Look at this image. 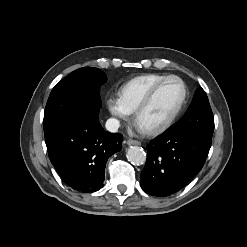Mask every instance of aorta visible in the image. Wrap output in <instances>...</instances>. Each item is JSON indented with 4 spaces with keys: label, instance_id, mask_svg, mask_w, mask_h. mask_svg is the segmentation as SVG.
Wrapping results in <instances>:
<instances>
[{
    "label": "aorta",
    "instance_id": "obj_1",
    "mask_svg": "<svg viewBox=\"0 0 247 247\" xmlns=\"http://www.w3.org/2000/svg\"><path fill=\"white\" fill-rule=\"evenodd\" d=\"M127 159L133 165H142L146 161V153L138 146H132L127 151Z\"/></svg>",
    "mask_w": 247,
    "mask_h": 247
}]
</instances>
